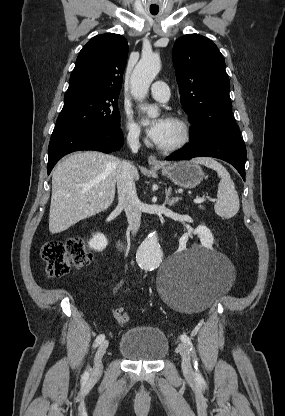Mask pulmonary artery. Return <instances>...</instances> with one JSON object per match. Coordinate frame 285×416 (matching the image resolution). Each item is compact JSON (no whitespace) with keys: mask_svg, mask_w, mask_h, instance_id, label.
I'll use <instances>...</instances> for the list:
<instances>
[{"mask_svg":"<svg viewBox=\"0 0 285 416\" xmlns=\"http://www.w3.org/2000/svg\"><path fill=\"white\" fill-rule=\"evenodd\" d=\"M163 81H156L151 86V93L158 102H168L170 99V87Z\"/></svg>","mask_w":285,"mask_h":416,"instance_id":"1","label":"pulmonary artery"}]
</instances>
